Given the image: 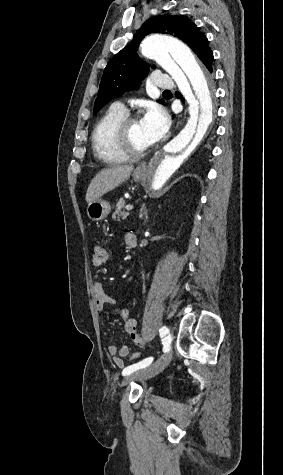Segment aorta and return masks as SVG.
I'll use <instances>...</instances> for the list:
<instances>
[{
  "instance_id": "762f6f07",
  "label": "aorta",
  "mask_w": 283,
  "mask_h": 475,
  "mask_svg": "<svg viewBox=\"0 0 283 475\" xmlns=\"http://www.w3.org/2000/svg\"><path fill=\"white\" fill-rule=\"evenodd\" d=\"M141 53L154 59L174 79L189 104L185 127L151 159L143 189L149 196L162 192L199 149L214 118L213 83L190 49L176 38L151 35L141 43Z\"/></svg>"
}]
</instances>
